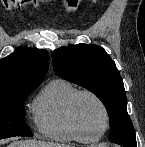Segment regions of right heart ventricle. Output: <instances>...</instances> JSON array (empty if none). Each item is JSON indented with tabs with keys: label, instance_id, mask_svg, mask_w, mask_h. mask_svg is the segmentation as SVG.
Wrapping results in <instances>:
<instances>
[{
	"label": "right heart ventricle",
	"instance_id": "right-heart-ventricle-1",
	"mask_svg": "<svg viewBox=\"0 0 145 147\" xmlns=\"http://www.w3.org/2000/svg\"><path fill=\"white\" fill-rule=\"evenodd\" d=\"M78 89L68 80L55 78L50 80L32 105V115L36 130L47 139L70 143L88 141L73 126L68 106Z\"/></svg>",
	"mask_w": 145,
	"mask_h": 147
}]
</instances>
